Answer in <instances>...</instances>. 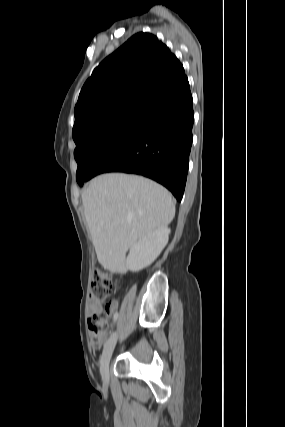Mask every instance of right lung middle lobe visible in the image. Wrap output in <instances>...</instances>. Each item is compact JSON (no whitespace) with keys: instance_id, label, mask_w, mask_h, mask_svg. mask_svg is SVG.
<instances>
[{"instance_id":"obj_1","label":"right lung middle lobe","mask_w":285,"mask_h":427,"mask_svg":"<svg viewBox=\"0 0 285 427\" xmlns=\"http://www.w3.org/2000/svg\"><path fill=\"white\" fill-rule=\"evenodd\" d=\"M144 105L127 106L90 121L73 133L77 182L82 184L101 159L117 144L143 110Z\"/></svg>"}]
</instances>
